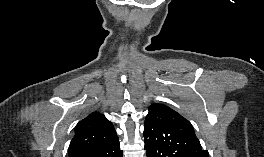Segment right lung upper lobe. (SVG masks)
<instances>
[{
  "label": "right lung upper lobe",
  "instance_id": "cb5924a9",
  "mask_svg": "<svg viewBox=\"0 0 264 157\" xmlns=\"http://www.w3.org/2000/svg\"><path fill=\"white\" fill-rule=\"evenodd\" d=\"M117 140L112 123L100 112H92L76 125L68 157H90Z\"/></svg>",
  "mask_w": 264,
  "mask_h": 157
}]
</instances>
